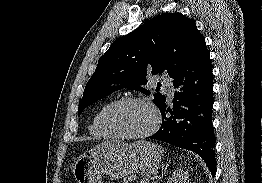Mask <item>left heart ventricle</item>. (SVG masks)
Instances as JSON below:
<instances>
[{
	"mask_svg": "<svg viewBox=\"0 0 262 183\" xmlns=\"http://www.w3.org/2000/svg\"><path fill=\"white\" fill-rule=\"evenodd\" d=\"M111 126L122 134H141L154 123V114L146 105L129 103L115 109L109 116Z\"/></svg>",
	"mask_w": 262,
	"mask_h": 183,
	"instance_id": "left-heart-ventricle-1",
	"label": "left heart ventricle"
}]
</instances>
